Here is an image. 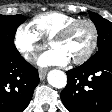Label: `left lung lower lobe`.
<instances>
[{
    "instance_id": "left-lung-lower-lobe-1",
    "label": "left lung lower lobe",
    "mask_w": 112,
    "mask_h": 112,
    "mask_svg": "<svg viewBox=\"0 0 112 112\" xmlns=\"http://www.w3.org/2000/svg\"><path fill=\"white\" fill-rule=\"evenodd\" d=\"M61 100L70 112H109L112 109V51L101 53L66 72Z\"/></svg>"
}]
</instances>
